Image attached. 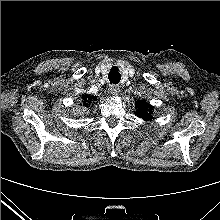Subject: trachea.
<instances>
[{
    "label": "trachea",
    "instance_id": "trachea-1",
    "mask_svg": "<svg viewBox=\"0 0 220 220\" xmlns=\"http://www.w3.org/2000/svg\"><path fill=\"white\" fill-rule=\"evenodd\" d=\"M108 78H109L110 83H112V84L119 83V81L121 79V75L118 72V69L116 67H113L112 70L109 72Z\"/></svg>",
    "mask_w": 220,
    "mask_h": 220
}]
</instances>
